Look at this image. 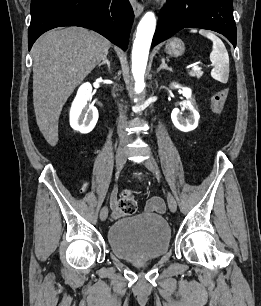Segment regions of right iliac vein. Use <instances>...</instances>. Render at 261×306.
<instances>
[{
    "label": "right iliac vein",
    "instance_id": "right-iliac-vein-1",
    "mask_svg": "<svg viewBox=\"0 0 261 306\" xmlns=\"http://www.w3.org/2000/svg\"><path fill=\"white\" fill-rule=\"evenodd\" d=\"M124 143H122L116 153V167L117 170L120 171L123 167V165L125 164L126 161V153L125 150L123 148ZM108 216V208L106 206H104L101 211H100V219L102 221H105L107 219Z\"/></svg>",
    "mask_w": 261,
    "mask_h": 306
}]
</instances>
